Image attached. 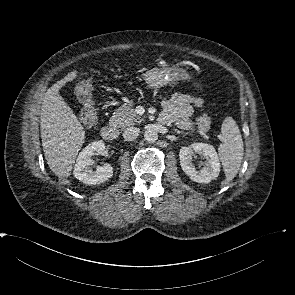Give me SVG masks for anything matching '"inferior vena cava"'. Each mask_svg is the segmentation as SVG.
Listing matches in <instances>:
<instances>
[{
  "instance_id": "602c4592",
  "label": "inferior vena cava",
  "mask_w": 295,
  "mask_h": 295,
  "mask_svg": "<svg viewBox=\"0 0 295 295\" xmlns=\"http://www.w3.org/2000/svg\"><path fill=\"white\" fill-rule=\"evenodd\" d=\"M140 129L137 127L126 128L123 132V137L127 141L136 139L139 136Z\"/></svg>"
}]
</instances>
